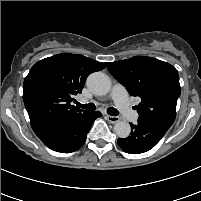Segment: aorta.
Segmentation results:
<instances>
[{
	"label": "aorta",
	"mask_w": 201,
	"mask_h": 201,
	"mask_svg": "<svg viewBox=\"0 0 201 201\" xmlns=\"http://www.w3.org/2000/svg\"><path fill=\"white\" fill-rule=\"evenodd\" d=\"M87 86L96 95H106L111 89V80L103 72H94L87 78ZM114 132L119 138H127L131 132L130 124L118 121L114 125Z\"/></svg>",
	"instance_id": "obj_1"
}]
</instances>
